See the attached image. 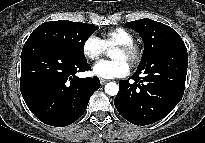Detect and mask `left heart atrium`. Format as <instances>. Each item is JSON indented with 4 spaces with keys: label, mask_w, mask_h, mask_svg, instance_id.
<instances>
[{
    "label": "left heart atrium",
    "mask_w": 205,
    "mask_h": 143,
    "mask_svg": "<svg viewBox=\"0 0 205 143\" xmlns=\"http://www.w3.org/2000/svg\"><path fill=\"white\" fill-rule=\"evenodd\" d=\"M129 70V64L123 59L101 60L93 66V73L105 79L126 76Z\"/></svg>",
    "instance_id": "obj_1"
}]
</instances>
